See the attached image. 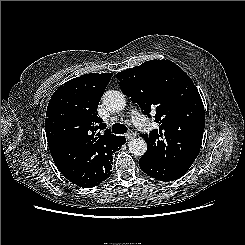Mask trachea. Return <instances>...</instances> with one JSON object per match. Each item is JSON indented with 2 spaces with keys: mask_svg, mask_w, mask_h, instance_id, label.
<instances>
[{
  "mask_svg": "<svg viewBox=\"0 0 245 245\" xmlns=\"http://www.w3.org/2000/svg\"><path fill=\"white\" fill-rule=\"evenodd\" d=\"M112 131L115 134H123L127 132V127L120 123H115L112 126Z\"/></svg>",
  "mask_w": 245,
  "mask_h": 245,
  "instance_id": "obj_1",
  "label": "trachea"
}]
</instances>
